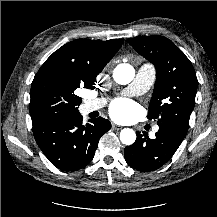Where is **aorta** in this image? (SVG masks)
Segmentation results:
<instances>
[{
  "instance_id": "762f6f07",
  "label": "aorta",
  "mask_w": 217,
  "mask_h": 217,
  "mask_svg": "<svg viewBox=\"0 0 217 217\" xmlns=\"http://www.w3.org/2000/svg\"><path fill=\"white\" fill-rule=\"evenodd\" d=\"M135 75V70L130 64H119L113 71V78L116 83L126 85L130 83ZM120 140L125 145H132L136 140V133L133 129L124 128L120 132Z\"/></svg>"
}]
</instances>
